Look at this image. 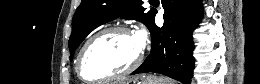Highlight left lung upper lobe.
Masks as SVG:
<instances>
[{
	"instance_id": "1",
	"label": "left lung upper lobe",
	"mask_w": 260,
	"mask_h": 84,
	"mask_svg": "<svg viewBox=\"0 0 260 84\" xmlns=\"http://www.w3.org/2000/svg\"><path fill=\"white\" fill-rule=\"evenodd\" d=\"M142 3L141 0H82L72 20L70 60L76 48L93 29L120 16L141 21L150 28L156 10L147 12Z\"/></svg>"
}]
</instances>
